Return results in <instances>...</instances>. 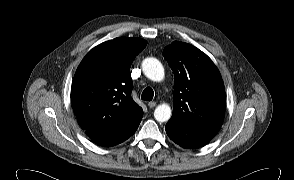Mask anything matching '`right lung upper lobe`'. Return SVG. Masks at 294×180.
<instances>
[{"label":"right lung upper lobe","mask_w":294,"mask_h":180,"mask_svg":"<svg viewBox=\"0 0 294 180\" xmlns=\"http://www.w3.org/2000/svg\"><path fill=\"white\" fill-rule=\"evenodd\" d=\"M147 45L119 37L93 48L75 73L71 101L80 127L90 137L115 133L142 108L131 98V63Z\"/></svg>","instance_id":"obj_1"}]
</instances>
